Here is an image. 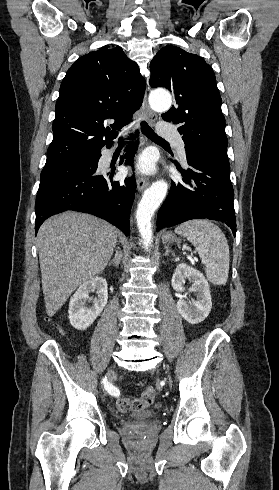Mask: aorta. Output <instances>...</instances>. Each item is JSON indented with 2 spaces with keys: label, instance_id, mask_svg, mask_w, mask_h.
I'll list each match as a JSON object with an SVG mask.
<instances>
[{
  "label": "aorta",
  "instance_id": "762f6f07",
  "mask_svg": "<svg viewBox=\"0 0 279 490\" xmlns=\"http://www.w3.org/2000/svg\"><path fill=\"white\" fill-rule=\"evenodd\" d=\"M149 103L154 111L166 112L171 107L172 98L167 91H154L150 94ZM167 190L168 184L165 181H156L144 192L138 204L136 211L137 227L146 250L152 245V217L166 197Z\"/></svg>",
  "mask_w": 279,
  "mask_h": 490
}]
</instances>
